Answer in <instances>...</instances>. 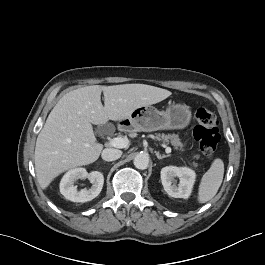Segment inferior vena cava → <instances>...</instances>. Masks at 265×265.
Wrapping results in <instances>:
<instances>
[{"label":"inferior vena cava","instance_id":"602c4592","mask_svg":"<svg viewBox=\"0 0 265 265\" xmlns=\"http://www.w3.org/2000/svg\"><path fill=\"white\" fill-rule=\"evenodd\" d=\"M122 151L114 148H106L102 151V159L105 161H114L121 157Z\"/></svg>","mask_w":265,"mask_h":265}]
</instances>
